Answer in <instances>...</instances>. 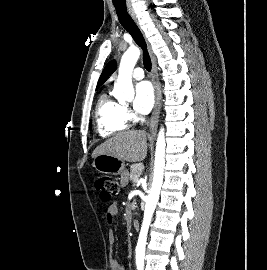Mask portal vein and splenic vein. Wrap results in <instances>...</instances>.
<instances>
[{
	"label": "portal vein and splenic vein",
	"instance_id": "portal-vein-and-splenic-vein-1",
	"mask_svg": "<svg viewBox=\"0 0 267 270\" xmlns=\"http://www.w3.org/2000/svg\"><path fill=\"white\" fill-rule=\"evenodd\" d=\"M139 181V179H136V182H138Z\"/></svg>",
	"mask_w": 267,
	"mask_h": 270
}]
</instances>
